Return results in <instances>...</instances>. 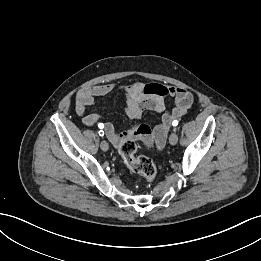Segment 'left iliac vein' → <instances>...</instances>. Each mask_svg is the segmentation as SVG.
<instances>
[{"mask_svg": "<svg viewBox=\"0 0 261 261\" xmlns=\"http://www.w3.org/2000/svg\"><path fill=\"white\" fill-rule=\"evenodd\" d=\"M169 142L171 145H175L178 142V136L175 132L171 133L169 137Z\"/></svg>", "mask_w": 261, "mask_h": 261, "instance_id": "1", "label": "left iliac vein"}]
</instances>
